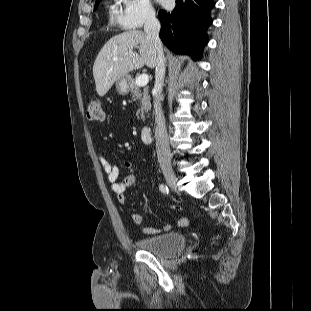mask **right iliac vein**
<instances>
[{
	"mask_svg": "<svg viewBox=\"0 0 311 311\" xmlns=\"http://www.w3.org/2000/svg\"><path fill=\"white\" fill-rule=\"evenodd\" d=\"M163 175L166 179L167 184L171 187L176 189L177 188V177L172 170V168L167 167L163 169Z\"/></svg>",
	"mask_w": 311,
	"mask_h": 311,
	"instance_id": "63e3f726",
	"label": "right iliac vein"
}]
</instances>
